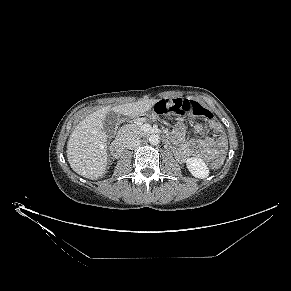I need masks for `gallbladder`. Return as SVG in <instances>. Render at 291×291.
<instances>
[{
	"mask_svg": "<svg viewBox=\"0 0 291 291\" xmlns=\"http://www.w3.org/2000/svg\"><path fill=\"white\" fill-rule=\"evenodd\" d=\"M119 122V115L113 111H109L103 118V131L108 137H113L116 134Z\"/></svg>",
	"mask_w": 291,
	"mask_h": 291,
	"instance_id": "1",
	"label": "gallbladder"
}]
</instances>
